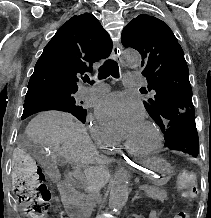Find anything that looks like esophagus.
Wrapping results in <instances>:
<instances>
[{
  "label": "esophagus",
  "instance_id": "esophagus-1",
  "mask_svg": "<svg viewBox=\"0 0 211 218\" xmlns=\"http://www.w3.org/2000/svg\"><path fill=\"white\" fill-rule=\"evenodd\" d=\"M121 51L122 46L121 43L117 42L113 45L112 56L113 58L122 65L121 61ZM118 160H123L125 167L127 168L128 172H142V164L139 163L138 159H133L132 153L130 152L129 148L120 149V153L117 156Z\"/></svg>",
  "mask_w": 211,
  "mask_h": 218
}]
</instances>
